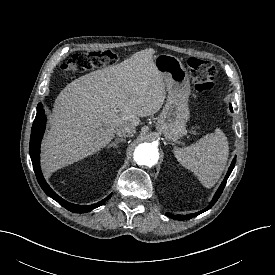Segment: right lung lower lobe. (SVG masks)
I'll return each instance as SVG.
<instances>
[{"instance_id":"right-lung-lower-lobe-1","label":"right lung lower lobe","mask_w":275,"mask_h":275,"mask_svg":"<svg viewBox=\"0 0 275 275\" xmlns=\"http://www.w3.org/2000/svg\"><path fill=\"white\" fill-rule=\"evenodd\" d=\"M45 111L43 109V105L41 103L37 106V114L35 117V120L33 122V126L31 128V138H30V145H29V152L31 155V160L33 164V169L36 174V178L38 183L40 184L43 191L50 196L52 199L57 201L60 205H62L67 210L74 212V213H85L89 212L105 203L106 200H108L112 194L107 196L105 199L99 201L96 204L93 205H76L71 204L64 199H62L59 195H57L47 184L45 181L41 168H40V143L41 139L45 130Z\"/></svg>"}]
</instances>
